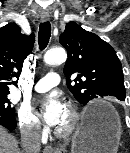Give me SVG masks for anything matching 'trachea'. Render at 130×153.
<instances>
[{
    "mask_svg": "<svg viewBox=\"0 0 130 153\" xmlns=\"http://www.w3.org/2000/svg\"><path fill=\"white\" fill-rule=\"evenodd\" d=\"M51 36V24L49 21L40 24L38 33V43L41 50L45 49L48 45Z\"/></svg>",
    "mask_w": 130,
    "mask_h": 153,
    "instance_id": "3493384b",
    "label": "trachea"
}]
</instances>
